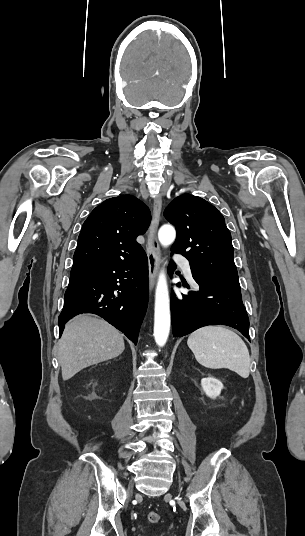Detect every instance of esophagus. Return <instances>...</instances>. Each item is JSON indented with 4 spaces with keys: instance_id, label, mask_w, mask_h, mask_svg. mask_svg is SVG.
<instances>
[{
    "instance_id": "1",
    "label": "esophagus",
    "mask_w": 305,
    "mask_h": 536,
    "mask_svg": "<svg viewBox=\"0 0 305 536\" xmlns=\"http://www.w3.org/2000/svg\"><path fill=\"white\" fill-rule=\"evenodd\" d=\"M161 210L162 197L161 195H157L154 199L153 204L152 223L150 227V234L146 251L149 265V288L151 291H153L156 283V277L160 262V247L157 239V230L160 221Z\"/></svg>"
}]
</instances>
